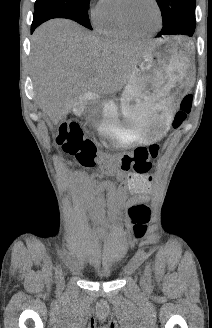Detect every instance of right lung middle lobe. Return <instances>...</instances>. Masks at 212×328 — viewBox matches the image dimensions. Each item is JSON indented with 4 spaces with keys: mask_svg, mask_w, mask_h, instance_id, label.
Listing matches in <instances>:
<instances>
[{
    "mask_svg": "<svg viewBox=\"0 0 212 328\" xmlns=\"http://www.w3.org/2000/svg\"><path fill=\"white\" fill-rule=\"evenodd\" d=\"M89 2L90 0H36L34 14L68 18L92 29L88 16Z\"/></svg>",
    "mask_w": 212,
    "mask_h": 328,
    "instance_id": "dd1d6c3e",
    "label": "right lung middle lobe"
}]
</instances>
